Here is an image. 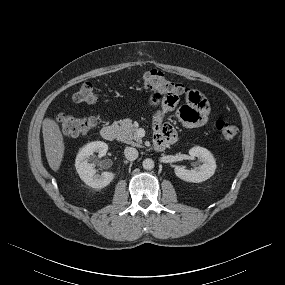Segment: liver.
<instances>
[{
    "instance_id": "1",
    "label": "liver",
    "mask_w": 285,
    "mask_h": 285,
    "mask_svg": "<svg viewBox=\"0 0 285 285\" xmlns=\"http://www.w3.org/2000/svg\"><path fill=\"white\" fill-rule=\"evenodd\" d=\"M42 133L45 154L50 168L58 171L63 160L65 144L59 125L50 118L44 119Z\"/></svg>"
}]
</instances>
